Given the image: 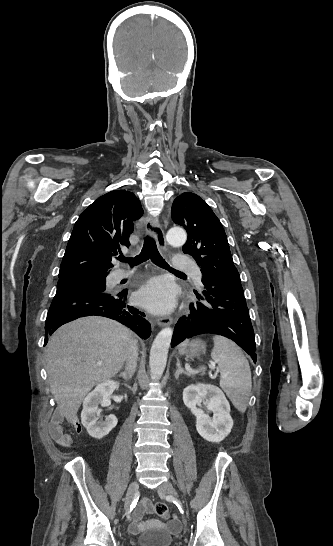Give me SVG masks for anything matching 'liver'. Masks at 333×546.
<instances>
[{
    "label": "liver",
    "instance_id": "obj_1",
    "mask_svg": "<svg viewBox=\"0 0 333 546\" xmlns=\"http://www.w3.org/2000/svg\"><path fill=\"white\" fill-rule=\"evenodd\" d=\"M130 333L103 317H83L60 327L46 348V370L57 410L70 423L86 394L122 368ZM101 362V364H98Z\"/></svg>",
    "mask_w": 333,
    "mask_h": 546
}]
</instances>
